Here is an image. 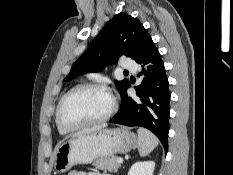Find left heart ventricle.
Listing matches in <instances>:
<instances>
[{"label": "left heart ventricle", "instance_id": "b2bd125f", "mask_svg": "<svg viewBox=\"0 0 233 175\" xmlns=\"http://www.w3.org/2000/svg\"><path fill=\"white\" fill-rule=\"evenodd\" d=\"M110 105L111 99L107 92L98 89L83 90L67 100L62 116L70 125L81 124L103 116Z\"/></svg>", "mask_w": 233, "mask_h": 175}]
</instances>
